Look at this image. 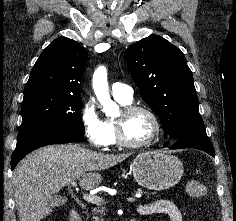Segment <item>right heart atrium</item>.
I'll list each match as a JSON object with an SVG mask.
<instances>
[{"instance_id":"1","label":"right heart atrium","mask_w":236,"mask_h":221,"mask_svg":"<svg viewBox=\"0 0 236 221\" xmlns=\"http://www.w3.org/2000/svg\"><path fill=\"white\" fill-rule=\"evenodd\" d=\"M79 119L83 134L90 144L97 148L109 145V134L105 121L101 118L93 99L89 98L83 102Z\"/></svg>"}]
</instances>
